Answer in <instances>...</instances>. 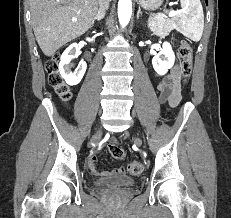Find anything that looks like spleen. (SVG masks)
<instances>
[{"mask_svg": "<svg viewBox=\"0 0 231 218\" xmlns=\"http://www.w3.org/2000/svg\"><path fill=\"white\" fill-rule=\"evenodd\" d=\"M181 12L172 20L174 28L189 39L198 42L203 34L204 14L200 0H180ZM159 20L164 16L159 14Z\"/></svg>", "mask_w": 231, "mask_h": 218, "instance_id": "3e777b00", "label": "spleen"}]
</instances>
